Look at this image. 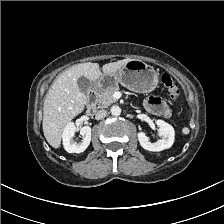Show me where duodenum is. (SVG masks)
Here are the masks:
<instances>
[{
    "label": "duodenum",
    "mask_w": 224,
    "mask_h": 224,
    "mask_svg": "<svg viewBox=\"0 0 224 224\" xmlns=\"http://www.w3.org/2000/svg\"><path fill=\"white\" fill-rule=\"evenodd\" d=\"M96 93L97 92L95 89L90 90V92L88 93V103H87L86 110H85V114L87 116L92 115L94 112Z\"/></svg>",
    "instance_id": "obj_1"
}]
</instances>
